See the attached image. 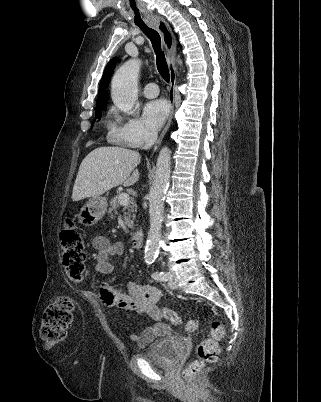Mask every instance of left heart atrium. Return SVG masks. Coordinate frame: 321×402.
Masks as SVG:
<instances>
[{"label": "left heart atrium", "instance_id": "obj_1", "mask_svg": "<svg viewBox=\"0 0 321 402\" xmlns=\"http://www.w3.org/2000/svg\"><path fill=\"white\" fill-rule=\"evenodd\" d=\"M169 114V106L165 100H153L144 106L143 117L147 126L153 130H158Z\"/></svg>", "mask_w": 321, "mask_h": 402}]
</instances>
